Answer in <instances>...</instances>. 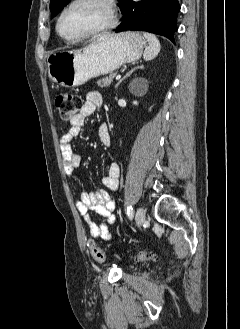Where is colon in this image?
Masks as SVG:
<instances>
[{"instance_id":"colon-1","label":"colon","mask_w":240,"mask_h":329,"mask_svg":"<svg viewBox=\"0 0 240 329\" xmlns=\"http://www.w3.org/2000/svg\"><path fill=\"white\" fill-rule=\"evenodd\" d=\"M55 105L59 111L60 118L63 121H71L82 109L83 101L77 94L61 92L55 99ZM89 248L91 256L96 262L103 263L105 261L103 251L93 241L89 243ZM138 258L140 260H149L152 258V255L143 252L138 256Z\"/></svg>"}]
</instances>
